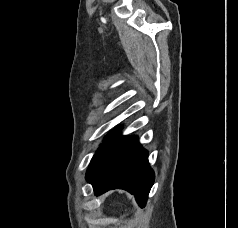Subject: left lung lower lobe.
I'll return each instance as SVG.
<instances>
[{"label": "left lung lower lobe", "mask_w": 238, "mask_h": 228, "mask_svg": "<svg viewBox=\"0 0 238 228\" xmlns=\"http://www.w3.org/2000/svg\"><path fill=\"white\" fill-rule=\"evenodd\" d=\"M86 179L96 195L110 189H125L143 207L155 175L148 163V152L136 136H115L97 169Z\"/></svg>", "instance_id": "obj_1"}]
</instances>
